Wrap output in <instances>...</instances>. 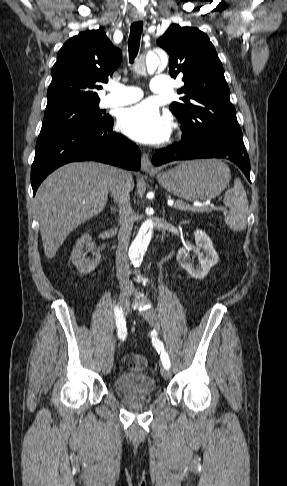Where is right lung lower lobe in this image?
I'll return each instance as SVG.
<instances>
[{
	"label": "right lung lower lobe",
	"mask_w": 287,
	"mask_h": 486,
	"mask_svg": "<svg viewBox=\"0 0 287 486\" xmlns=\"http://www.w3.org/2000/svg\"><path fill=\"white\" fill-rule=\"evenodd\" d=\"M112 127L113 119L107 115L96 126L40 134L31 168L33 194L48 174L69 162L93 160L139 170V148Z\"/></svg>",
	"instance_id": "98d812e1"
}]
</instances>
